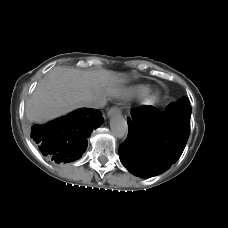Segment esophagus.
I'll use <instances>...</instances> for the list:
<instances>
[{
    "label": "esophagus",
    "instance_id": "1",
    "mask_svg": "<svg viewBox=\"0 0 228 228\" xmlns=\"http://www.w3.org/2000/svg\"><path fill=\"white\" fill-rule=\"evenodd\" d=\"M121 113V110L120 108L118 107H112L108 110L107 112V116L108 117H111V116H116V115H119Z\"/></svg>",
    "mask_w": 228,
    "mask_h": 228
}]
</instances>
